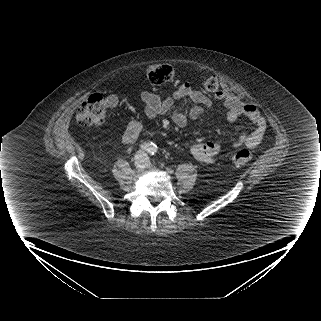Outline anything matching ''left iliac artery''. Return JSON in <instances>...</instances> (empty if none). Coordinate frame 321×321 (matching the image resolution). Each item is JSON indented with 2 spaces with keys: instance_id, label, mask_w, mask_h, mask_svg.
I'll use <instances>...</instances> for the list:
<instances>
[{
  "instance_id": "1",
  "label": "left iliac artery",
  "mask_w": 321,
  "mask_h": 321,
  "mask_svg": "<svg viewBox=\"0 0 321 321\" xmlns=\"http://www.w3.org/2000/svg\"><path fill=\"white\" fill-rule=\"evenodd\" d=\"M157 152V146L156 145H152V148L150 150V154L154 155Z\"/></svg>"
}]
</instances>
